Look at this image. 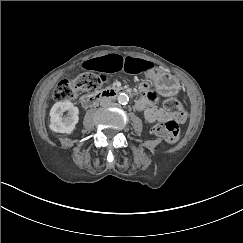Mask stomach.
Masks as SVG:
<instances>
[{
    "mask_svg": "<svg viewBox=\"0 0 243 243\" xmlns=\"http://www.w3.org/2000/svg\"><path fill=\"white\" fill-rule=\"evenodd\" d=\"M146 76L152 80L157 90L164 96H174L180 88L179 82L170 74H166L156 68H150Z\"/></svg>",
    "mask_w": 243,
    "mask_h": 243,
    "instance_id": "obj_1",
    "label": "stomach"
}]
</instances>
